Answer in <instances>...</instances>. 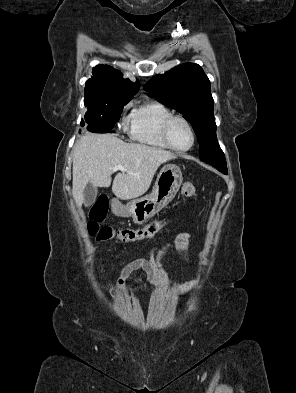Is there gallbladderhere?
<instances>
[{
  "mask_svg": "<svg viewBox=\"0 0 296 393\" xmlns=\"http://www.w3.org/2000/svg\"><path fill=\"white\" fill-rule=\"evenodd\" d=\"M97 198V189L91 184H88L84 189V205L91 206Z\"/></svg>",
  "mask_w": 296,
  "mask_h": 393,
  "instance_id": "1",
  "label": "gallbladder"
}]
</instances>
